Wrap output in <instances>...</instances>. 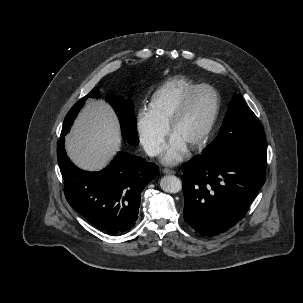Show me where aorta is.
<instances>
[{"instance_id": "aorta-1", "label": "aorta", "mask_w": 303, "mask_h": 303, "mask_svg": "<svg viewBox=\"0 0 303 303\" xmlns=\"http://www.w3.org/2000/svg\"><path fill=\"white\" fill-rule=\"evenodd\" d=\"M160 187L167 193H178L182 189L181 180L173 175L164 176L160 180Z\"/></svg>"}]
</instances>
